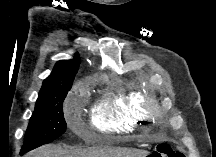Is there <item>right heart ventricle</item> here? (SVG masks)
<instances>
[{
  "label": "right heart ventricle",
  "mask_w": 216,
  "mask_h": 157,
  "mask_svg": "<svg viewBox=\"0 0 216 157\" xmlns=\"http://www.w3.org/2000/svg\"><path fill=\"white\" fill-rule=\"evenodd\" d=\"M141 103V93L135 88L109 87L91 109V124L102 133L132 132L144 119Z\"/></svg>",
  "instance_id": "e07e8e85"
}]
</instances>
